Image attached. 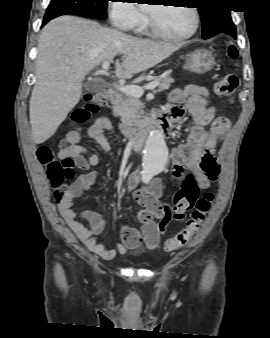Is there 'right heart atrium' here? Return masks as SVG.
Masks as SVG:
<instances>
[{
	"label": "right heart atrium",
	"mask_w": 270,
	"mask_h": 338,
	"mask_svg": "<svg viewBox=\"0 0 270 338\" xmlns=\"http://www.w3.org/2000/svg\"><path fill=\"white\" fill-rule=\"evenodd\" d=\"M110 18L114 26L122 30H131L147 22L146 15L129 0L112 4Z\"/></svg>",
	"instance_id": "d8ad5b80"
}]
</instances>
